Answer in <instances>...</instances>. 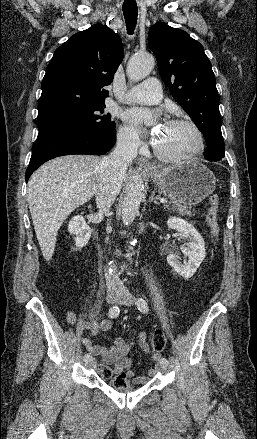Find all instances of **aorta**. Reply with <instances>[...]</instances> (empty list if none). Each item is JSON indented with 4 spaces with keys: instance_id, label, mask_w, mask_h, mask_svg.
Wrapping results in <instances>:
<instances>
[{
    "instance_id": "aorta-1",
    "label": "aorta",
    "mask_w": 257,
    "mask_h": 439,
    "mask_svg": "<svg viewBox=\"0 0 257 439\" xmlns=\"http://www.w3.org/2000/svg\"><path fill=\"white\" fill-rule=\"evenodd\" d=\"M154 67V59L150 55H135L127 65V75L133 81H140L147 77ZM144 185L139 174H134L127 184L123 205L122 221L129 226L139 213Z\"/></svg>"
}]
</instances>
